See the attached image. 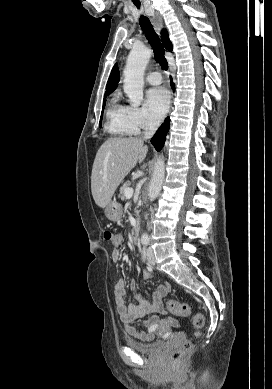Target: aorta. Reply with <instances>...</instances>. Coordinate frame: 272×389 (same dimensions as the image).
Wrapping results in <instances>:
<instances>
[{
    "instance_id": "1",
    "label": "aorta",
    "mask_w": 272,
    "mask_h": 389,
    "mask_svg": "<svg viewBox=\"0 0 272 389\" xmlns=\"http://www.w3.org/2000/svg\"><path fill=\"white\" fill-rule=\"evenodd\" d=\"M151 50L146 47H133L128 55L124 69V92L133 105H140L143 100L144 71L151 57ZM165 176V163L163 156L155 162L148 196L154 200L159 195ZM142 242H148L149 236L143 233Z\"/></svg>"
}]
</instances>
